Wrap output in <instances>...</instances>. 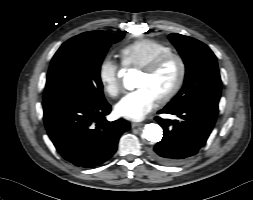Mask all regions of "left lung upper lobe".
<instances>
[{
	"label": "left lung upper lobe",
	"mask_w": 253,
	"mask_h": 200,
	"mask_svg": "<svg viewBox=\"0 0 253 200\" xmlns=\"http://www.w3.org/2000/svg\"><path fill=\"white\" fill-rule=\"evenodd\" d=\"M168 38L183 58L186 75L182 89L166 107L180 108L203 101L218 103L221 78L214 53L202 42L188 36L173 33Z\"/></svg>",
	"instance_id": "5c2ea615"
}]
</instances>
